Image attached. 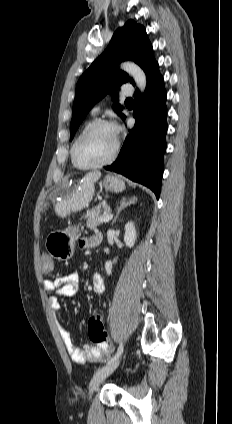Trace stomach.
I'll return each instance as SVG.
<instances>
[{
    "instance_id": "1",
    "label": "stomach",
    "mask_w": 232,
    "mask_h": 424,
    "mask_svg": "<svg viewBox=\"0 0 232 424\" xmlns=\"http://www.w3.org/2000/svg\"><path fill=\"white\" fill-rule=\"evenodd\" d=\"M103 187L108 191L116 193L125 190V183L118 177L108 175L102 182ZM61 188L58 194L65 192ZM79 236V228L76 226L68 227L63 231H52L46 238L45 247L48 253L57 260H68L74 252L75 241Z\"/></svg>"
}]
</instances>
